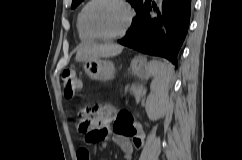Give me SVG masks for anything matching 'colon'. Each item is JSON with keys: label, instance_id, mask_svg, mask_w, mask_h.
<instances>
[{"label": "colon", "instance_id": "colon-1", "mask_svg": "<svg viewBox=\"0 0 242 160\" xmlns=\"http://www.w3.org/2000/svg\"><path fill=\"white\" fill-rule=\"evenodd\" d=\"M61 80L63 94L65 97H72L82 87L81 80L71 68H66L63 70ZM83 113L85 114L86 119L79 124V128L81 131L86 132V141L88 143H93L104 138L106 135L105 132H101L98 129L90 130V120L96 117V111L91 107H86L83 110ZM114 129L115 131L124 134L134 133L136 131V127L132 114L127 111L118 112L114 122Z\"/></svg>", "mask_w": 242, "mask_h": 160}]
</instances>
